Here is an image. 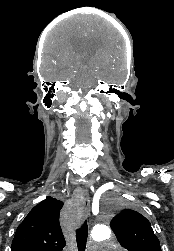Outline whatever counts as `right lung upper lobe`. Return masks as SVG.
<instances>
[{"instance_id":"cb5924a9","label":"right lung upper lobe","mask_w":174,"mask_h":251,"mask_svg":"<svg viewBox=\"0 0 174 251\" xmlns=\"http://www.w3.org/2000/svg\"><path fill=\"white\" fill-rule=\"evenodd\" d=\"M63 202L46 197L18 226L11 251H62L66 242L59 224Z\"/></svg>"}]
</instances>
